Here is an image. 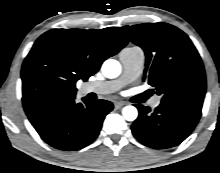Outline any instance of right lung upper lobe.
Segmentation results:
<instances>
[{"label":"right lung upper lobe","mask_w":220,"mask_h":173,"mask_svg":"<svg viewBox=\"0 0 220 173\" xmlns=\"http://www.w3.org/2000/svg\"><path fill=\"white\" fill-rule=\"evenodd\" d=\"M127 43L113 27L47 31L37 39L22 66L24 107L29 110V104L37 108L76 95L75 83L86 81Z\"/></svg>","instance_id":"1"}]
</instances>
